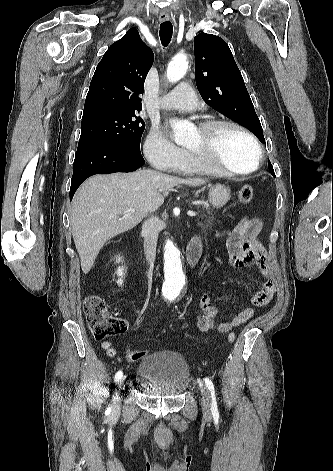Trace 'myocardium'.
Masks as SVG:
<instances>
[{
	"label": "myocardium",
	"instance_id": "obj_1",
	"mask_svg": "<svg viewBox=\"0 0 333 471\" xmlns=\"http://www.w3.org/2000/svg\"><path fill=\"white\" fill-rule=\"evenodd\" d=\"M223 127L236 129L242 134H244L251 141L256 151V162H255L254 167L248 170L238 171V170L227 168L217 163L213 159L211 155V137L215 133V131ZM198 131L203 136V148L198 151L187 148V153H188L189 158L196 165L207 169L213 174H221V175H228V176L248 175L255 172L260 167V164L263 158L262 147L258 139L255 137V135L242 124L233 120H229V119L206 120L199 124Z\"/></svg>",
	"mask_w": 333,
	"mask_h": 471
}]
</instances>
